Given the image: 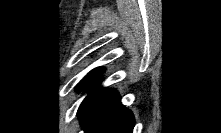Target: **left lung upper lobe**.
<instances>
[{"instance_id": "left-lung-upper-lobe-1", "label": "left lung upper lobe", "mask_w": 221, "mask_h": 133, "mask_svg": "<svg viewBox=\"0 0 221 133\" xmlns=\"http://www.w3.org/2000/svg\"><path fill=\"white\" fill-rule=\"evenodd\" d=\"M103 72L101 67L95 68L86 77V80L78 86V90H81L88 85H90L94 80H96Z\"/></svg>"}]
</instances>
